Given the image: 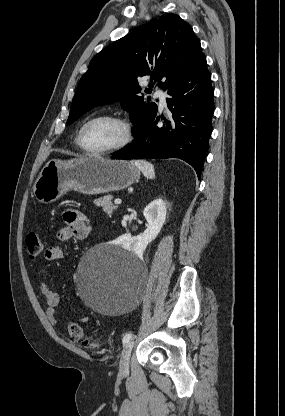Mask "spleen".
Segmentation results:
<instances>
[{
	"label": "spleen",
	"mask_w": 285,
	"mask_h": 416,
	"mask_svg": "<svg viewBox=\"0 0 285 416\" xmlns=\"http://www.w3.org/2000/svg\"><path fill=\"white\" fill-rule=\"evenodd\" d=\"M131 164L136 166V168H139L145 178H148V180H155L156 176L153 164L146 162V160H132Z\"/></svg>",
	"instance_id": "3e777b00"
}]
</instances>
